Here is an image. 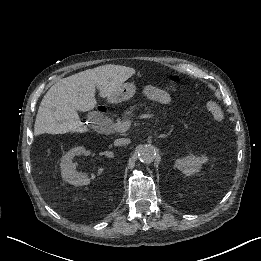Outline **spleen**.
<instances>
[{"label": "spleen", "mask_w": 261, "mask_h": 261, "mask_svg": "<svg viewBox=\"0 0 261 261\" xmlns=\"http://www.w3.org/2000/svg\"><path fill=\"white\" fill-rule=\"evenodd\" d=\"M207 108L212 112L215 120L222 121L224 119V114L216 103L209 102Z\"/></svg>", "instance_id": "3e777b00"}]
</instances>
